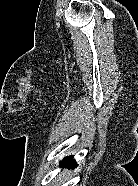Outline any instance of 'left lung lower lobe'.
<instances>
[{
    "mask_svg": "<svg viewBox=\"0 0 138 186\" xmlns=\"http://www.w3.org/2000/svg\"><path fill=\"white\" fill-rule=\"evenodd\" d=\"M61 166L74 169L76 167V161L75 159H73V157L64 158L61 163Z\"/></svg>",
    "mask_w": 138,
    "mask_h": 186,
    "instance_id": "0a47b994",
    "label": "left lung lower lobe"
}]
</instances>
